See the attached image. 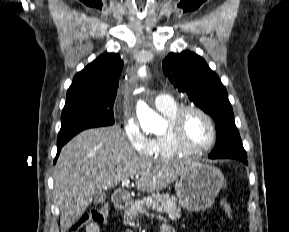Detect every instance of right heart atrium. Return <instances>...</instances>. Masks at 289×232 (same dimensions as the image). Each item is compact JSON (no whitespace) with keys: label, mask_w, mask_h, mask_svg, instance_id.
<instances>
[{"label":"right heart atrium","mask_w":289,"mask_h":232,"mask_svg":"<svg viewBox=\"0 0 289 232\" xmlns=\"http://www.w3.org/2000/svg\"><path fill=\"white\" fill-rule=\"evenodd\" d=\"M122 127L125 138L133 151L143 156L151 154L152 139L142 131L133 116L126 114Z\"/></svg>","instance_id":"1"}]
</instances>
